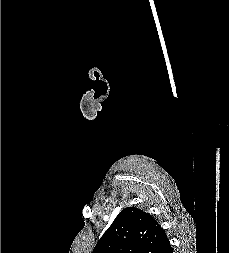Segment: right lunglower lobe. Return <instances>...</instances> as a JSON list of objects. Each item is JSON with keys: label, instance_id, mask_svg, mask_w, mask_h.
Listing matches in <instances>:
<instances>
[{"label": "right lung lower lobe", "instance_id": "obj_1", "mask_svg": "<svg viewBox=\"0 0 229 253\" xmlns=\"http://www.w3.org/2000/svg\"><path fill=\"white\" fill-rule=\"evenodd\" d=\"M162 253H173V248L169 245Z\"/></svg>", "mask_w": 229, "mask_h": 253}]
</instances>
